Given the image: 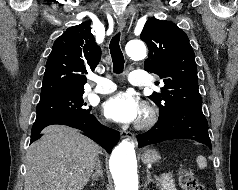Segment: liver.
Masks as SVG:
<instances>
[{"label":"liver","instance_id":"1","mask_svg":"<svg viewBox=\"0 0 238 190\" xmlns=\"http://www.w3.org/2000/svg\"><path fill=\"white\" fill-rule=\"evenodd\" d=\"M26 155L24 190H82L95 168L99 146L76 129L51 125Z\"/></svg>","mask_w":238,"mask_h":190}]
</instances>
